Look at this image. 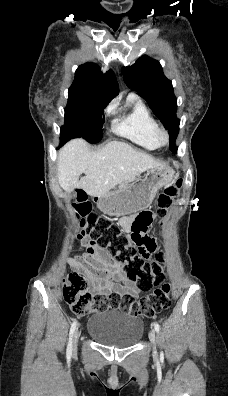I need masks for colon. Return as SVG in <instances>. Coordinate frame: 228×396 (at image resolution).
<instances>
[{
	"label": "colon",
	"mask_w": 228,
	"mask_h": 396,
	"mask_svg": "<svg viewBox=\"0 0 228 396\" xmlns=\"http://www.w3.org/2000/svg\"><path fill=\"white\" fill-rule=\"evenodd\" d=\"M182 185L183 180L178 179L174 184L162 190L157 198L156 215L164 217L167 214L169 207L178 197ZM74 206L77 216L82 217L78 239L84 241L90 238L97 243L98 247H105L106 251H104L107 256L124 269L127 279L134 282L140 290L149 291L153 285L159 284L164 256L161 252H156L155 241L147 235L154 219L152 212L142 211L135 217L129 238L132 245L128 243L124 235H119L118 244H110L108 238L118 234V230L106 219L91 213V204L84 191H77ZM154 252H156L155 259L150 260V255ZM63 296L71 310L80 316L119 309L122 312L152 317L168 308L170 304V288L167 284L157 286L151 293L140 299H136L131 293L92 295L88 290L86 280L77 273H69L64 278Z\"/></svg>",
	"instance_id": "5ec220e1"
}]
</instances>
